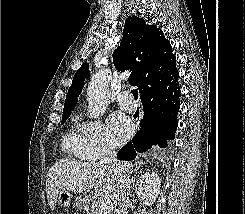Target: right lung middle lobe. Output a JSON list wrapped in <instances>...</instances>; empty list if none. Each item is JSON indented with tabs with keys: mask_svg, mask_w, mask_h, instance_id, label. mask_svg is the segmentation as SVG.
I'll list each match as a JSON object with an SVG mask.
<instances>
[{
	"mask_svg": "<svg viewBox=\"0 0 245 214\" xmlns=\"http://www.w3.org/2000/svg\"><path fill=\"white\" fill-rule=\"evenodd\" d=\"M70 116V113L69 114H63L62 116V124L66 122L67 118Z\"/></svg>",
	"mask_w": 245,
	"mask_h": 214,
	"instance_id": "1",
	"label": "right lung middle lobe"
}]
</instances>
